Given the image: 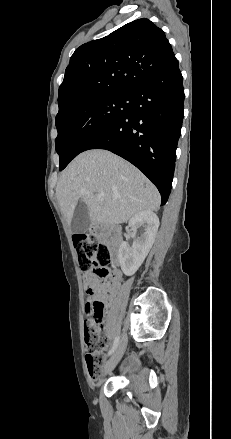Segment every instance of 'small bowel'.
I'll return each mask as SVG.
<instances>
[{
  "label": "small bowel",
  "mask_w": 231,
  "mask_h": 439,
  "mask_svg": "<svg viewBox=\"0 0 231 439\" xmlns=\"http://www.w3.org/2000/svg\"><path fill=\"white\" fill-rule=\"evenodd\" d=\"M84 280L86 283V292L89 297H95L100 300L104 306H107L110 300V292L115 289V286L109 287L108 290L104 291L99 286V279L93 273H87L84 275ZM102 319V315L100 320ZM106 350V347L102 349V353Z\"/></svg>",
  "instance_id": "obj_1"
}]
</instances>
